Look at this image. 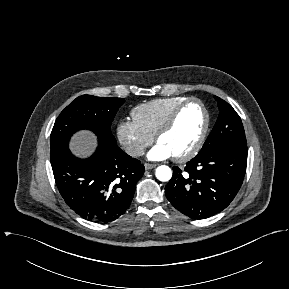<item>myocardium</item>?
I'll return each instance as SVG.
<instances>
[{
	"mask_svg": "<svg viewBox=\"0 0 289 289\" xmlns=\"http://www.w3.org/2000/svg\"><path fill=\"white\" fill-rule=\"evenodd\" d=\"M191 103H197L198 105H200V107L202 108V110L204 112L205 121H204L202 131H201L197 141L195 142V144L187 152H185L181 155L173 156V159L177 162H185V161L192 159L194 156H196L198 154V152L201 150V148H202V146L206 140V137L208 135L209 128H210V120L211 119H210L209 110L207 109L205 103L196 97L187 98L186 100H184L182 103H180L172 111V113L169 115L167 120L163 123V125L159 128V130L157 131V133L155 135L156 142H159L160 138L163 135H165L166 133H168L173 128V126L175 125V123H176L180 113L183 111V109Z\"/></svg>",
	"mask_w": 289,
	"mask_h": 289,
	"instance_id": "obj_1",
	"label": "myocardium"
}]
</instances>
